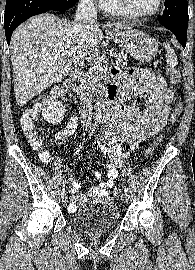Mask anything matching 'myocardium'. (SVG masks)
<instances>
[{
  "label": "myocardium",
  "mask_w": 195,
  "mask_h": 270,
  "mask_svg": "<svg viewBox=\"0 0 195 270\" xmlns=\"http://www.w3.org/2000/svg\"><path fill=\"white\" fill-rule=\"evenodd\" d=\"M123 7L134 17L139 19L150 18L160 12L163 7V0H158L157 6L153 11L147 13H140L135 11L129 3V0H120Z\"/></svg>",
  "instance_id": "1"
}]
</instances>
